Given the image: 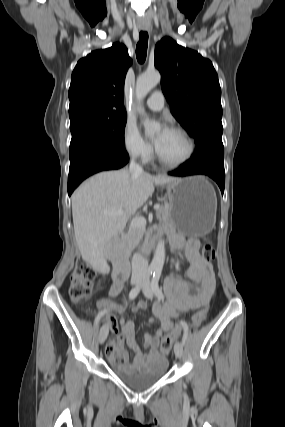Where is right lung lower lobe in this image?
I'll use <instances>...</instances> for the list:
<instances>
[{"instance_id": "1", "label": "right lung lower lobe", "mask_w": 285, "mask_h": 427, "mask_svg": "<svg viewBox=\"0 0 285 427\" xmlns=\"http://www.w3.org/2000/svg\"><path fill=\"white\" fill-rule=\"evenodd\" d=\"M129 160L125 149L119 150L99 143L80 148L70 159L68 194L87 177L104 170L119 169Z\"/></svg>"}]
</instances>
